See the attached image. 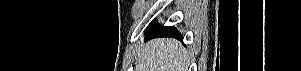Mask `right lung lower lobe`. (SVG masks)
<instances>
[{
  "instance_id": "1",
  "label": "right lung lower lobe",
  "mask_w": 301,
  "mask_h": 71,
  "mask_svg": "<svg viewBox=\"0 0 301 71\" xmlns=\"http://www.w3.org/2000/svg\"><path fill=\"white\" fill-rule=\"evenodd\" d=\"M147 39L154 37H174L177 39H182L180 33L175 27H160L151 24L148 30L145 32Z\"/></svg>"
}]
</instances>
